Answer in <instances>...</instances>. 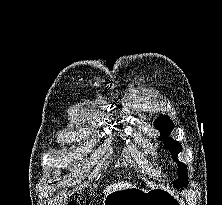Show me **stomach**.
<instances>
[{"label": "stomach", "mask_w": 222, "mask_h": 205, "mask_svg": "<svg viewBox=\"0 0 222 205\" xmlns=\"http://www.w3.org/2000/svg\"><path fill=\"white\" fill-rule=\"evenodd\" d=\"M103 205H183V202L167 189L144 190L128 186L108 192L103 198Z\"/></svg>", "instance_id": "0dacf381"}]
</instances>
